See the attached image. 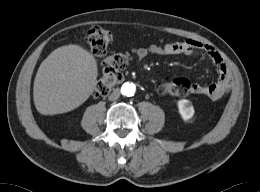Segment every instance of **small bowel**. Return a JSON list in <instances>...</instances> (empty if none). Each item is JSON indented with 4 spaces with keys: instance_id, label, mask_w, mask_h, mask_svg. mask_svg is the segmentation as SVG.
<instances>
[{
    "instance_id": "1",
    "label": "small bowel",
    "mask_w": 260,
    "mask_h": 192,
    "mask_svg": "<svg viewBox=\"0 0 260 192\" xmlns=\"http://www.w3.org/2000/svg\"><path fill=\"white\" fill-rule=\"evenodd\" d=\"M198 52H203L216 66L218 79L208 86L191 83V93L204 95L212 100L220 99L228 93L231 87V73L221 55L212 46L194 39H186L176 42L160 40L159 44L132 49V53L138 59L149 55H195Z\"/></svg>"
}]
</instances>
